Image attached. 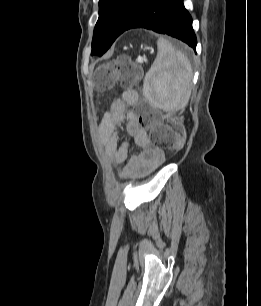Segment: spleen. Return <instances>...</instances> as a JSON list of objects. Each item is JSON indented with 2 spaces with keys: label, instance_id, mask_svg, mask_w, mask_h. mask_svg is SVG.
Instances as JSON below:
<instances>
[{
  "label": "spleen",
  "instance_id": "3e777b00",
  "mask_svg": "<svg viewBox=\"0 0 261 306\" xmlns=\"http://www.w3.org/2000/svg\"><path fill=\"white\" fill-rule=\"evenodd\" d=\"M158 53L143 82V95L165 111L184 109L192 88V66L188 57L166 39L157 41Z\"/></svg>",
  "mask_w": 261,
  "mask_h": 306
}]
</instances>
